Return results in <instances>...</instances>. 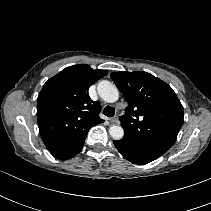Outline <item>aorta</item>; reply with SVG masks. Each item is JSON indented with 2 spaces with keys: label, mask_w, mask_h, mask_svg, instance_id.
<instances>
[{
  "label": "aorta",
  "mask_w": 211,
  "mask_h": 211,
  "mask_svg": "<svg viewBox=\"0 0 211 211\" xmlns=\"http://www.w3.org/2000/svg\"><path fill=\"white\" fill-rule=\"evenodd\" d=\"M99 96L108 103L116 102L119 99L117 87L107 80L99 82L97 86ZM109 134L114 140H120L124 136V130L121 126L112 125L109 128Z\"/></svg>",
  "instance_id": "1"
}]
</instances>
